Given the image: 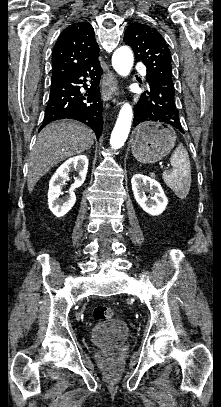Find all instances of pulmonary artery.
Listing matches in <instances>:
<instances>
[{
    "label": "pulmonary artery",
    "instance_id": "e3ab8cb5",
    "mask_svg": "<svg viewBox=\"0 0 221 407\" xmlns=\"http://www.w3.org/2000/svg\"><path fill=\"white\" fill-rule=\"evenodd\" d=\"M139 70H140L141 72L145 73V67H144L143 65H141V66L139 67Z\"/></svg>",
    "mask_w": 221,
    "mask_h": 407
}]
</instances>
